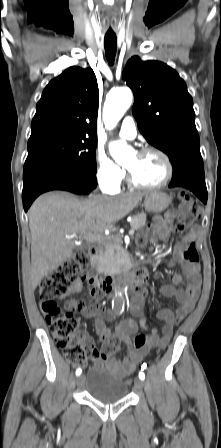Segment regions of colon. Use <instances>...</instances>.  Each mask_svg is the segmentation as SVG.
Here are the masks:
<instances>
[{"mask_svg": "<svg viewBox=\"0 0 221 448\" xmlns=\"http://www.w3.org/2000/svg\"><path fill=\"white\" fill-rule=\"evenodd\" d=\"M178 199L180 220L183 224H188L198 214V209L189 194L181 192ZM183 257L192 264L199 262L200 257L195 244L192 243L186 248ZM88 262L87 251H75L57 269L43 277L38 287L40 307L45 314L56 346L71 364L81 367H86V350L93 347V342L89 337L79 334L80 323L70 313H63L57 300L69 295L73 288L94 279V273L88 268ZM146 341L147 337L139 334L134 339V345L136 348H141Z\"/></svg>", "mask_w": 221, "mask_h": 448, "instance_id": "1", "label": "colon"}]
</instances>
